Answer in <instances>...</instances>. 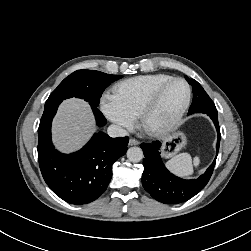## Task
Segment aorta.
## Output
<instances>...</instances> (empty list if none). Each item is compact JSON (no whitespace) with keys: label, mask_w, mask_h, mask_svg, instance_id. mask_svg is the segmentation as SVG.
<instances>
[{"label":"aorta","mask_w":251,"mask_h":251,"mask_svg":"<svg viewBox=\"0 0 251 251\" xmlns=\"http://www.w3.org/2000/svg\"><path fill=\"white\" fill-rule=\"evenodd\" d=\"M127 158L133 163L140 162L143 159V151L140 147H131L127 151Z\"/></svg>","instance_id":"1"}]
</instances>
